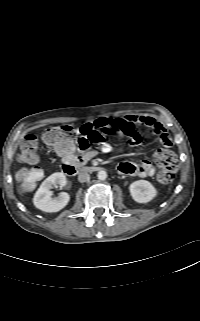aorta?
Returning a JSON list of instances; mask_svg holds the SVG:
<instances>
[{"instance_id":"obj_1","label":"aorta","mask_w":200,"mask_h":321,"mask_svg":"<svg viewBox=\"0 0 200 321\" xmlns=\"http://www.w3.org/2000/svg\"><path fill=\"white\" fill-rule=\"evenodd\" d=\"M97 177L99 180H105L107 178V173L104 170L98 172Z\"/></svg>"}]
</instances>
